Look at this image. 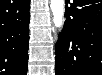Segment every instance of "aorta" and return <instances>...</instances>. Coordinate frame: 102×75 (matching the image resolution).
Listing matches in <instances>:
<instances>
[{
	"instance_id": "762f6f07",
	"label": "aorta",
	"mask_w": 102,
	"mask_h": 75,
	"mask_svg": "<svg viewBox=\"0 0 102 75\" xmlns=\"http://www.w3.org/2000/svg\"><path fill=\"white\" fill-rule=\"evenodd\" d=\"M50 8L55 27L61 28L64 22V0H50Z\"/></svg>"
}]
</instances>
